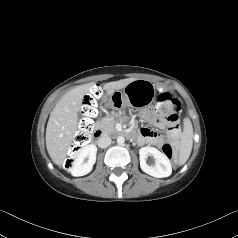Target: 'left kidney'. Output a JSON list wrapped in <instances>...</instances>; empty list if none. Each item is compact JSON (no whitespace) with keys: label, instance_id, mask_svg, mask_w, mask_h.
Here are the masks:
<instances>
[{"label":"left kidney","instance_id":"left-kidney-1","mask_svg":"<svg viewBox=\"0 0 238 238\" xmlns=\"http://www.w3.org/2000/svg\"><path fill=\"white\" fill-rule=\"evenodd\" d=\"M141 169L156 178L168 177L172 173V167L169 158L158 149L150 146L142 147L139 150ZM148 156H153L155 164L150 166L146 163Z\"/></svg>","mask_w":238,"mask_h":238}]
</instances>
